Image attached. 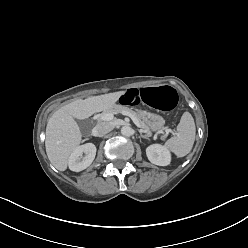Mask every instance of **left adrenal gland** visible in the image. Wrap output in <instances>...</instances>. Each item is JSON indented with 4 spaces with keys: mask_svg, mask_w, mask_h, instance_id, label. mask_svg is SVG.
Masks as SVG:
<instances>
[{
    "mask_svg": "<svg viewBox=\"0 0 248 248\" xmlns=\"http://www.w3.org/2000/svg\"><path fill=\"white\" fill-rule=\"evenodd\" d=\"M140 137L145 138V139H149L146 135H143L141 131H140Z\"/></svg>",
    "mask_w": 248,
    "mask_h": 248,
    "instance_id": "obj_1",
    "label": "left adrenal gland"
}]
</instances>
